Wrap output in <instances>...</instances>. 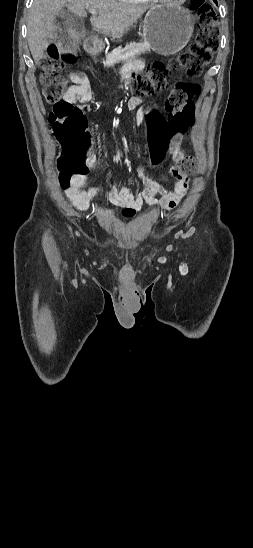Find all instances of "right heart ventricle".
Wrapping results in <instances>:
<instances>
[{
	"label": "right heart ventricle",
	"mask_w": 253,
	"mask_h": 548,
	"mask_svg": "<svg viewBox=\"0 0 253 548\" xmlns=\"http://www.w3.org/2000/svg\"><path fill=\"white\" fill-rule=\"evenodd\" d=\"M122 3H126V4H134V5H137V4H146L148 3L150 0H118Z\"/></svg>",
	"instance_id": "obj_1"
}]
</instances>
